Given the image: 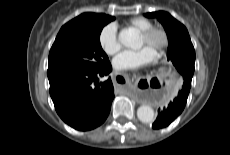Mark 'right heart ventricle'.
<instances>
[{
  "mask_svg": "<svg viewBox=\"0 0 230 155\" xmlns=\"http://www.w3.org/2000/svg\"><path fill=\"white\" fill-rule=\"evenodd\" d=\"M126 24L129 28L134 29L137 32H142L153 26L152 21L144 17L131 18L126 22Z\"/></svg>",
  "mask_w": 230,
  "mask_h": 155,
  "instance_id": "e07e8e85",
  "label": "right heart ventricle"
}]
</instances>
